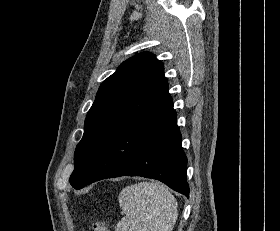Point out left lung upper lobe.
Here are the masks:
<instances>
[{
    "label": "left lung upper lobe",
    "instance_id": "5c2ea615",
    "mask_svg": "<svg viewBox=\"0 0 280 231\" xmlns=\"http://www.w3.org/2000/svg\"><path fill=\"white\" fill-rule=\"evenodd\" d=\"M164 66L150 52L123 62L97 92L76 147L70 184L77 188L97 157L123 129L153 111L168 96Z\"/></svg>",
    "mask_w": 280,
    "mask_h": 231
}]
</instances>
